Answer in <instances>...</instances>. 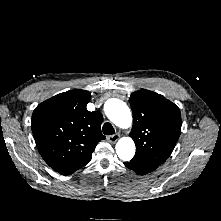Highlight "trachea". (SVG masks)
Here are the masks:
<instances>
[{"mask_svg":"<svg viewBox=\"0 0 221 221\" xmlns=\"http://www.w3.org/2000/svg\"><path fill=\"white\" fill-rule=\"evenodd\" d=\"M102 131H103V133L105 135H113V134H115V130H114L113 126L109 122H106L103 125Z\"/></svg>","mask_w":221,"mask_h":221,"instance_id":"trachea-1","label":"trachea"}]
</instances>
